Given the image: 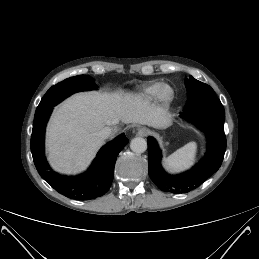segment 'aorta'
Returning <instances> with one entry per match:
<instances>
[{"instance_id":"aorta-1","label":"aorta","mask_w":259,"mask_h":259,"mask_svg":"<svg viewBox=\"0 0 259 259\" xmlns=\"http://www.w3.org/2000/svg\"><path fill=\"white\" fill-rule=\"evenodd\" d=\"M130 148L135 153H143L147 149V142L142 137L133 138L130 142Z\"/></svg>"}]
</instances>
